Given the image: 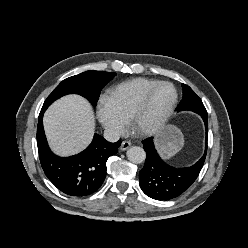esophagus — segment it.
<instances>
[{
    "label": "esophagus",
    "instance_id": "34e87169",
    "mask_svg": "<svg viewBox=\"0 0 248 248\" xmlns=\"http://www.w3.org/2000/svg\"><path fill=\"white\" fill-rule=\"evenodd\" d=\"M130 146H131V142L125 140V141H123V142L121 143L120 149H121L122 151H125V150L128 149Z\"/></svg>",
    "mask_w": 248,
    "mask_h": 248
}]
</instances>
